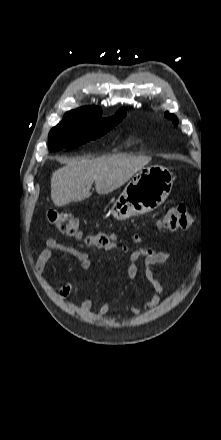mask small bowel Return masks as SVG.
Masks as SVG:
<instances>
[{"mask_svg":"<svg viewBox=\"0 0 221 440\" xmlns=\"http://www.w3.org/2000/svg\"><path fill=\"white\" fill-rule=\"evenodd\" d=\"M132 239L137 243L142 241L137 234L132 235ZM113 249H118L126 254L128 259L126 274L129 280H132L137 276L139 271L138 262L143 259V273L152 288V295L147 301L144 302L143 308L146 309L156 306L159 303L160 298L165 296L167 292L158 278L154 275L153 267L156 265L166 264L170 259V253L148 248L131 250L127 245L121 243H116L104 248V250ZM55 250H60L74 256L82 270H88L92 266V258L87 252L79 250L70 245L61 244L54 239H48L46 241V247L39 253L36 260L35 267L38 273H42L44 271ZM166 275L169 279L172 278V271L170 268L166 269ZM72 290L73 284L70 282L66 283L59 289L58 295L60 298H66L71 294ZM111 304V300L104 302L99 308L98 314L100 316L106 315L111 308ZM91 307V299L84 300L78 305V309L81 312H87L91 309ZM128 312L131 314H138L141 312V310L138 308H130Z\"/></svg>","mask_w":221,"mask_h":440,"instance_id":"1","label":"small bowel"}]
</instances>
